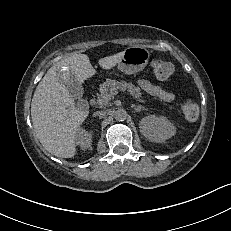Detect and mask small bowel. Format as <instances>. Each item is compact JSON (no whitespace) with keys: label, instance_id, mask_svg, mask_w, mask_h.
Returning a JSON list of instances; mask_svg holds the SVG:
<instances>
[{"label":"small bowel","instance_id":"obj_1","mask_svg":"<svg viewBox=\"0 0 231 231\" xmlns=\"http://www.w3.org/2000/svg\"><path fill=\"white\" fill-rule=\"evenodd\" d=\"M139 87L146 93L158 97L163 101H172L175 97L174 93L169 91L166 87L154 84L148 80L142 79L138 82Z\"/></svg>","mask_w":231,"mask_h":231}]
</instances>
